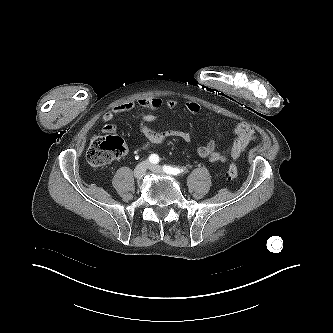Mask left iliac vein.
I'll return each instance as SVG.
<instances>
[{"label": "left iliac vein", "mask_w": 333, "mask_h": 333, "mask_svg": "<svg viewBox=\"0 0 333 333\" xmlns=\"http://www.w3.org/2000/svg\"><path fill=\"white\" fill-rule=\"evenodd\" d=\"M149 169L157 174H164V170L160 165L150 164Z\"/></svg>", "instance_id": "1"}]
</instances>
